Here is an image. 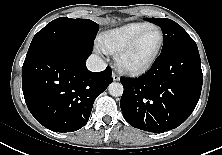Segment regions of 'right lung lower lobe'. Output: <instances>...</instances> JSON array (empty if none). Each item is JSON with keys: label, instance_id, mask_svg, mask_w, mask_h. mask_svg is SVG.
Returning a JSON list of instances; mask_svg holds the SVG:
<instances>
[{"label": "right lung lower lobe", "instance_id": "98d812e1", "mask_svg": "<svg viewBox=\"0 0 222 155\" xmlns=\"http://www.w3.org/2000/svg\"><path fill=\"white\" fill-rule=\"evenodd\" d=\"M93 47L57 46L25 59L22 89L31 114L44 127L73 132L89 120L93 103L112 82L111 69L91 72Z\"/></svg>", "mask_w": 222, "mask_h": 155}]
</instances>
